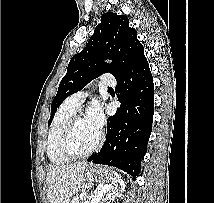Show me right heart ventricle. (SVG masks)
<instances>
[{"label": "right heart ventricle", "instance_id": "right-heart-ventricle-1", "mask_svg": "<svg viewBox=\"0 0 214 203\" xmlns=\"http://www.w3.org/2000/svg\"><path fill=\"white\" fill-rule=\"evenodd\" d=\"M76 111L66 100L56 112L50 125L46 140V151L49 160L55 165H64L70 161L60 150V139L66 125Z\"/></svg>", "mask_w": 214, "mask_h": 203}]
</instances>
